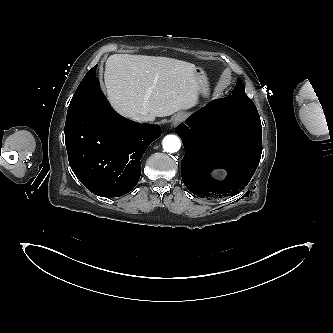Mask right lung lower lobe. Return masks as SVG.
I'll return each mask as SVG.
<instances>
[{"mask_svg": "<svg viewBox=\"0 0 333 333\" xmlns=\"http://www.w3.org/2000/svg\"><path fill=\"white\" fill-rule=\"evenodd\" d=\"M65 144L70 167L92 193L119 197L141 175V158L161 135L159 125L140 124L117 114L96 82L81 106L67 112Z\"/></svg>", "mask_w": 333, "mask_h": 333, "instance_id": "right-lung-lower-lobe-1", "label": "right lung lower lobe"}]
</instances>
